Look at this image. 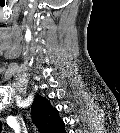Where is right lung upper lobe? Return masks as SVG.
<instances>
[{
	"label": "right lung upper lobe",
	"mask_w": 120,
	"mask_h": 133,
	"mask_svg": "<svg viewBox=\"0 0 120 133\" xmlns=\"http://www.w3.org/2000/svg\"><path fill=\"white\" fill-rule=\"evenodd\" d=\"M32 119L41 133H60L64 131L63 120L48 100L38 95L31 106Z\"/></svg>",
	"instance_id": "1"
}]
</instances>
